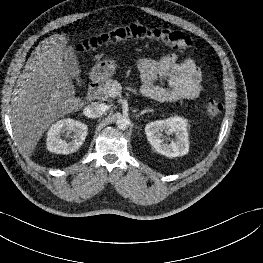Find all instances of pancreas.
I'll return each mask as SVG.
<instances>
[{
	"instance_id": "obj_1",
	"label": "pancreas",
	"mask_w": 263,
	"mask_h": 263,
	"mask_svg": "<svg viewBox=\"0 0 263 263\" xmlns=\"http://www.w3.org/2000/svg\"><path fill=\"white\" fill-rule=\"evenodd\" d=\"M120 83L117 80H112V79H106L105 83L102 85L100 88V95L103 96L105 99L109 97H115L116 95H111L110 90L113 87L119 86Z\"/></svg>"
}]
</instances>
